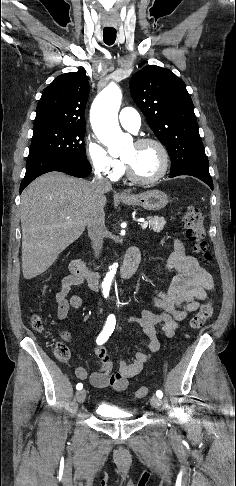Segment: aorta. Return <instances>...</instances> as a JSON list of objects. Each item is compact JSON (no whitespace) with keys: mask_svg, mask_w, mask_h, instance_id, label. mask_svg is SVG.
<instances>
[{"mask_svg":"<svg viewBox=\"0 0 236 486\" xmlns=\"http://www.w3.org/2000/svg\"><path fill=\"white\" fill-rule=\"evenodd\" d=\"M121 100V89L116 84H110L99 93L91 108L92 128L98 139L108 147L110 155L119 154L130 138L122 132L118 123ZM116 270V264L110 266L102 282V292L105 296L109 294Z\"/></svg>","mask_w":236,"mask_h":486,"instance_id":"obj_1","label":"aorta"}]
</instances>
